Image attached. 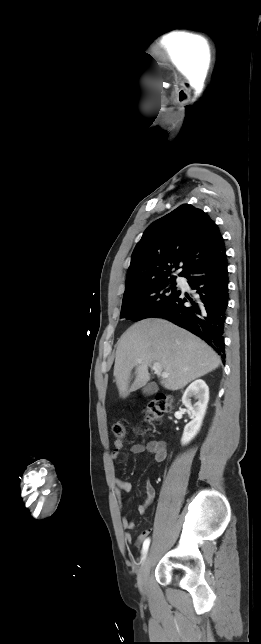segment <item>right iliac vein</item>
I'll return each instance as SVG.
<instances>
[{
	"instance_id": "right-iliac-vein-1",
	"label": "right iliac vein",
	"mask_w": 261,
	"mask_h": 644,
	"mask_svg": "<svg viewBox=\"0 0 261 644\" xmlns=\"http://www.w3.org/2000/svg\"><path fill=\"white\" fill-rule=\"evenodd\" d=\"M151 564H152V555L149 552L145 557V560L140 569V573L138 575V586H139L140 592L143 595H146L148 591V577L150 573Z\"/></svg>"
}]
</instances>
